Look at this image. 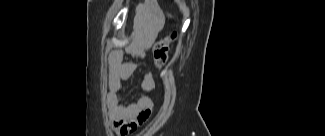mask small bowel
<instances>
[{
  "mask_svg": "<svg viewBox=\"0 0 325 136\" xmlns=\"http://www.w3.org/2000/svg\"><path fill=\"white\" fill-rule=\"evenodd\" d=\"M160 26L156 24L149 30L148 43L157 35ZM133 62H123V53L114 51L109 55V88L106 95L107 107L114 131L124 135L126 131H135L145 123L152 111V99L149 93L154 88V79L147 73L141 80L143 94L133 103L127 106L120 104V88L122 82L134 71Z\"/></svg>",
  "mask_w": 325,
  "mask_h": 136,
  "instance_id": "c3829d8e",
  "label": "small bowel"
}]
</instances>
